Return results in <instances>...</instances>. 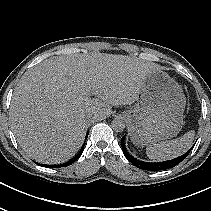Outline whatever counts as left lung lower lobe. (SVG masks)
I'll use <instances>...</instances> for the list:
<instances>
[{"instance_id":"0a47b994","label":"left lung lower lobe","mask_w":211,"mask_h":211,"mask_svg":"<svg viewBox=\"0 0 211 211\" xmlns=\"http://www.w3.org/2000/svg\"><path fill=\"white\" fill-rule=\"evenodd\" d=\"M124 140H125V136H123L122 139H121L122 151H123L125 157L132 164H134L137 168H140V169H143V170H149V171H160V170H166V169L175 167L176 165H178L180 162H182L189 155V153L192 149L191 148L185 154H183V155H181L177 158H174L172 160L157 162V163H150V162H144V161L137 160L132 155H130L125 148Z\"/></svg>"}]
</instances>
